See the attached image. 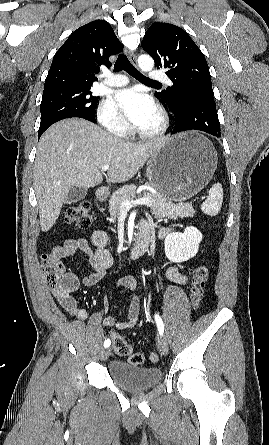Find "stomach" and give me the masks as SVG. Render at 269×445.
Masks as SVG:
<instances>
[{
  "label": "stomach",
  "instance_id": "stomach-1",
  "mask_svg": "<svg viewBox=\"0 0 269 445\" xmlns=\"http://www.w3.org/2000/svg\"><path fill=\"white\" fill-rule=\"evenodd\" d=\"M217 152L197 132L174 135L147 161L146 176L159 195L183 202L200 192L217 168Z\"/></svg>",
  "mask_w": 269,
  "mask_h": 445
}]
</instances>
